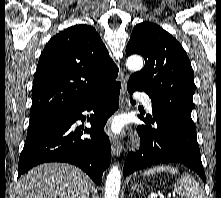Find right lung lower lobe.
<instances>
[{
	"label": "right lung lower lobe",
	"instance_id": "98d812e1",
	"mask_svg": "<svg viewBox=\"0 0 221 198\" xmlns=\"http://www.w3.org/2000/svg\"><path fill=\"white\" fill-rule=\"evenodd\" d=\"M120 87L116 82L75 110L28 130L19 157L18 177L34 166L57 161L80 167L99 185L111 162V146L104 125L119 107ZM83 111L93 112L87 117L90 129L74 126L78 119H86ZM83 133L90 134V138L81 139Z\"/></svg>",
	"mask_w": 221,
	"mask_h": 198
}]
</instances>
